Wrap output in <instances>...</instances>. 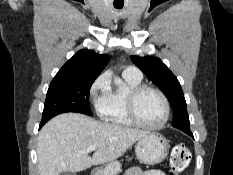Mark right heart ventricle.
I'll return each instance as SVG.
<instances>
[{"mask_svg": "<svg viewBox=\"0 0 233 175\" xmlns=\"http://www.w3.org/2000/svg\"><path fill=\"white\" fill-rule=\"evenodd\" d=\"M124 87H118L115 89L108 88L106 93L97 102L98 116L110 123L113 126L121 128H129L134 126L130 120L126 101L129 91L142 83L141 78L123 74Z\"/></svg>", "mask_w": 233, "mask_h": 175, "instance_id": "obj_1", "label": "right heart ventricle"}]
</instances>
